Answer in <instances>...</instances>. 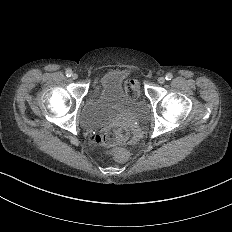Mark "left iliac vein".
Returning a JSON list of instances; mask_svg holds the SVG:
<instances>
[{
  "instance_id": "4c4485c4",
  "label": "left iliac vein",
  "mask_w": 232,
  "mask_h": 232,
  "mask_svg": "<svg viewBox=\"0 0 232 232\" xmlns=\"http://www.w3.org/2000/svg\"><path fill=\"white\" fill-rule=\"evenodd\" d=\"M158 82H159L160 84H163V83L165 82V77H164V76H159V77H158Z\"/></svg>"
}]
</instances>
